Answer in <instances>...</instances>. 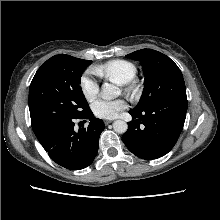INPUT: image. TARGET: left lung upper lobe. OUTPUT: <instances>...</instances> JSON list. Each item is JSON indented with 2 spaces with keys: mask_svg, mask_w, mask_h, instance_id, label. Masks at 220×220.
<instances>
[{
  "mask_svg": "<svg viewBox=\"0 0 220 220\" xmlns=\"http://www.w3.org/2000/svg\"><path fill=\"white\" fill-rule=\"evenodd\" d=\"M139 60L146 75V87L138 105L137 113L153 107L160 101L186 97V88L178 66L165 54L152 49H142L126 55Z\"/></svg>",
  "mask_w": 220,
  "mask_h": 220,
  "instance_id": "5c2ea615",
  "label": "left lung upper lobe"
}]
</instances>
